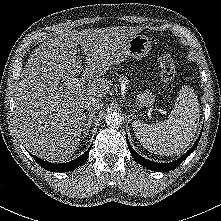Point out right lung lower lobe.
<instances>
[{"instance_id":"obj_1","label":"right lung lower lobe","mask_w":221,"mask_h":221,"mask_svg":"<svg viewBox=\"0 0 221 221\" xmlns=\"http://www.w3.org/2000/svg\"><path fill=\"white\" fill-rule=\"evenodd\" d=\"M90 149V148H89ZM89 157V150L82 154L80 157H78L75 160H72L67 163H61V164H54L47 161H44L36 156H33V158L36 160V162L42 166L44 169L52 172H67L76 169L79 166H82L86 160Z\"/></svg>"}]
</instances>
